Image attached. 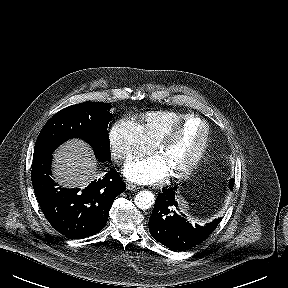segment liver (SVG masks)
Instances as JSON below:
<instances>
[{
    "instance_id": "6515ba94",
    "label": "liver",
    "mask_w": 288,
    "mask_h": 288,
    "mask_svg": "<svg viewBox=\"0 0 288 288\" xmlns=\"http://www.w3.org/2000/svg\"><path fill=\"white\" fill-rule=\"evenodd\" d=\"M96 166L91 148L78 139L66 142L54 154V177L63 187H86L97 175Z\"/></svg>"
}]
</instances>
